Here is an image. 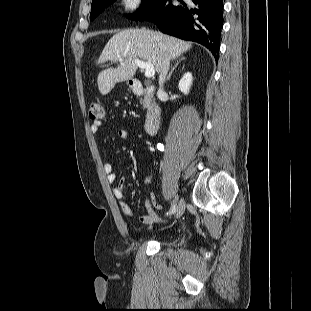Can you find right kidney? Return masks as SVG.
<instances>
[{"instance_id": "1", "label": "right kidney", "mask_w": 311, "mask_h": 311, "mask_svg": "<svg viewBox=\"0 0 311 311\" xmlns=\"http://www.w3.org/2000/svg\"><path fill=\"white\" fill-rule=\"evenodd\" d=\"M192 74L190 72H187L183 75L181 80L179 81L178 88L179 90L187 95L189 93L191 84H192Z\"/></svg>"}]
</instances>
